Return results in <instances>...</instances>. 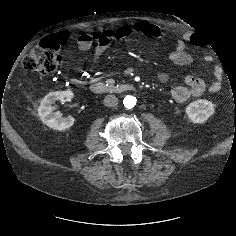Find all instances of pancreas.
I'll list each match as a JSON object with an SVG mask.
<instances>
[{
  "mask_svg": "<svg viewBox=\"0 0 236 236\" xmlns=\"http://www.w3.org/2000/svg\"><path fill=\"white\" fill-rule=\"evenodd\" d=\"M114 83H115V80L114 79H108L107 81H106V84L108 85V86H113L114 85Z\"/></svg>",
  "mask_w": 236,
  "mask_h": 236,
  "instance_id": "obj_1",
  "label": "pancreas"
}]
</instances>
